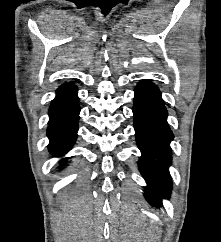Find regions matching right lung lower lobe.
I'll return each instance as SVG.
<instances>
[{
    "label": "right lung lower lobe",
    "instance_id": "obj_1",
    "mask_svg": "<svg viewBox=\"0 0 221 242\" xmlns=\"http://www.w3.org/2000/svg\"><path fill=\"white\" fill-rule=\"evenodd\" d=\"M79 112L76 86L73 83L63 84L58 88L49 110L47 134L52 155L61 156L72 148L77 137Z\"/></svg>",
    "mask_w": 221,
    "mask_h": 242
}]
</instances>
